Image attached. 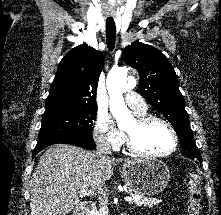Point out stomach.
<instances>
[{
    "label": "stomach",
    "mask_w": 221,
    "mask_h": 215,
    "mask_svg": "<svg viewBox=\"0 0 221 215\" xmlns=\"http://www.w3.org/2000/svg\"><path fill=\"white\" fill-rule=\"evenodd\" d=\"M122 178L129 191L139 196L162 192L170 180L167 166L156 159H135L123 165Z\"/></svg>",
    "instance_id": "0dacf381"
}]
</instances>
